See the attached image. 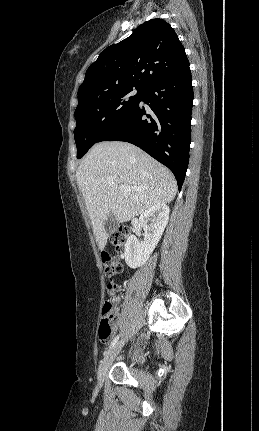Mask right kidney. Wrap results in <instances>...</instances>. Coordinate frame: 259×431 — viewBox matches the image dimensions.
Here are the masks:
<instances>
[{"mask_svg":"<svg viewBox=\"0 0 259 431\" xmlns=\"http://www.w3.org/2000/svg\"><path fill=\"white\" fill-rule=\"evenodd\" d=\"M169 212L166 204H156L142 212L139 222L145 231L144 241L140 244L136 236L131 235L125 244V261L130 268L135 269L146 263L164 232Z\"/></svg>","mask_w":259,"mask_h":431,"instance_id":"1","label":"right kidney"}]
</instances>
